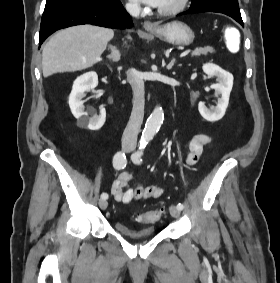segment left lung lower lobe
Here are the masks:
<instances>
[{
	"label": "left lung lower lobe",
	"mask_w": 280,
	"mask_h": 283,
	"mask_svg": "<svg viewBox=\"0 0 280 283\" xmlns=\"http://www.w3.org/2000/svg\"><path fill=\"white\" fill-rule=\"evenodd\" d=\"M199 12H218V13H222V12H219V11H216V10H212V9H207V8H191L190 10L186 11V12H183L179 15H182V14H190V13H199ZM224 14V13H223ZM227 15V14H226ZM229 16V15H228ZM231 17V16H230ZM234 20H236L238 23H240L242 26L243 25V21H242V18H237V17H232Z\"/></svg>",
	"instance_id": "1"
}]
</instances>
